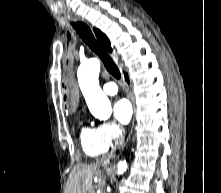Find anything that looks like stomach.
<instances>
[{
    "label": "stomach",
    "mask_w": 221,
    "mask_h": 193,
    "mask_svg": "<svg viewBox=\"0 0 221 193\" xmlns=\"http://www.w3.org/2000/svg\"><path fill=\"white\" fill-rule=\"evenodd\" d=\"M63 109H67L68 112H75L76 107H79L78 98H62Z\"/></svg>",
    "instance_id": "1"
}]
</instances>
